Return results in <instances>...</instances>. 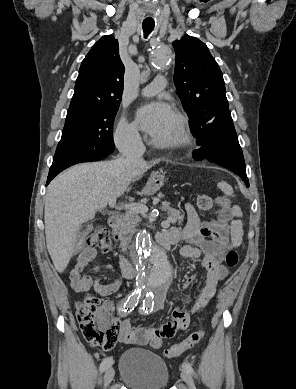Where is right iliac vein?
<instances>
[{"instance_id": "1", "label": "right iliac vein", "mask_w": 296, "mask_h": 389, "mask_svg": "<svg viewBox=\"0 0 296 389\" xmlns=\"http://www.w3.org/2000/svg\"><path fill=\"white\" fill-rule=\"evenodd\" d=\"M115 371L112 366H109L104 375V386H108L114 377Z\"/></svg>"}]
</instances>
